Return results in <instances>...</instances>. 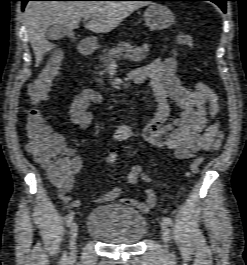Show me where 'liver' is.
Returning a JSON list of instances; mask_svg holds the SVG:
<instances>
[{"label":"liver","mask_w":247,"mask_h":265,"mask_svg":"<svg viewBox=\"0 0 247 265\" xmlns=\"http://www.w3.org/2000/svg\"><path fill=\"white\" fill-rule=\"evenodd\" d=\"M142 1H29L24 12V24L38 66L46 52L55 47L46 40L51 25L76 29L80 20L92 16L85 26L95 33L114 30L132 12L146 5Z\"/></svg>","instance_id":"liver-1"}]
</instances>
